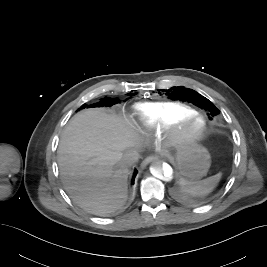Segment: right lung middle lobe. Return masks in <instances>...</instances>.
Instances as JSON below:
<instances>
[{"instance_id":"dd1d6c3e","label":"right lung middle lobe","mask_w":267,"mask_h":267,"mask_svg":"<svg viewBox=\"0 0 267 267\" xmlns=\"http://www.w3.org/2000/svg\"><path fill=\"white\" fill-rule=\"evenodd\" d=\"M118 100L117 99H110V98H103L102 101H100L99 103H97L96 105H91L89 107H96V106H112L114 105L115 103H117ZM86 107V104H84L81 108H85Z\"/></svg>"}]
</instances>
